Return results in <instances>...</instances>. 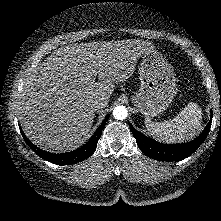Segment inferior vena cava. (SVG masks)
Segmentation results:
<instances>
[{
    "label": "inferior vena cava",
    "instance_id": "602c4592",
    "mask_svg": "<svg viewBox=\"0 0 221 221\" xmlns=\"http://www.w3.org/2000/svg\"><path fill=\"white\" fill-rule=\"evenodd\" d=\"M107 105V102L103 99H98L93 102L92 108L94 111L104 108Z\"/></svg>",
    "mask_w": 221,
    "mask_h": 221
}]
</instances>
